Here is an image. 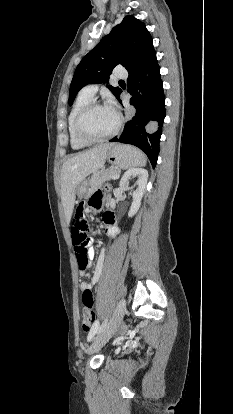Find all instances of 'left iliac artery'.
Segmentation results:
<instances>
[{"mask_svg":"<svg viewBox=\"0 0 233 414\" xmlns=\"http://www.w3.org/2000/svg\"><path fill=\"white\" fill-rule=\"evenodd\" d=\"M107 322H108V319H106V320L103 322V324L99 326V322L97 321V322L95 323V327H96V331H95V332H97V333H101V332L105 329V327L107 326Z\"/></svg>","mask_w":233,"mask_h":414,"instance_id":"left-iliac-artery-1","label":"left iliac artery"}]
</instances>
